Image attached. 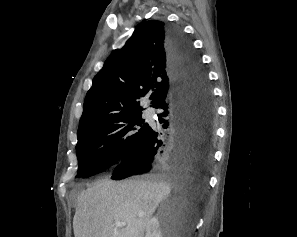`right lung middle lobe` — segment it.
<instances>
[{"instance_id":"dd1d6c3e","label":"right lung middle lobe","mask_w":297,"mask_h":237,"mask_svg":"<svg viewBox=\"0 0 297 237\" xmlns=\"http://www.w3.org/2000/svg\"><path fill=\"white\" fill-rule=\"evenodd\" d=\"M141 114L133 112L113 116L78 135L77 176L88 177L112 167L135 150L151 130Z\"/></svg>"}]
</instances>
